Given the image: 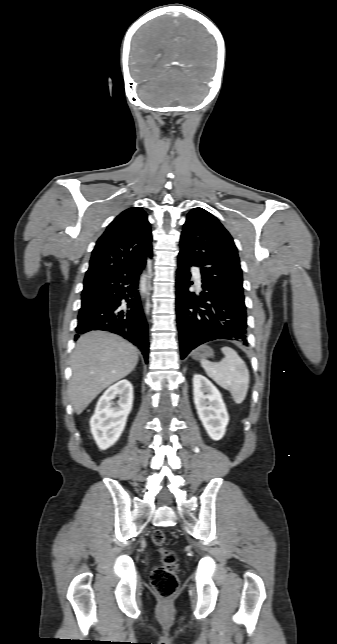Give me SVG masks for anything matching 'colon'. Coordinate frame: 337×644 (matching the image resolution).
<instances>
[{
	"mask_svg": "<svg viewBox=\"0 0 337 644\" xmlns=\"http://www.w3.org/2000/svg\"><path fill=\"white\" fill-rule=\"evenodd\" d=\"M154 546L160 549L162 562L151 573V583L158 596L163 601H169L179 588V579L177 576V557L170 550L164 549L165 534L162 530L157 529L151 535Z\"/></svg>",
	"mask_w": 337,
	"mask_h": 644,
	"instance_id": "1",
	"label": "colon"
}]
</instances>
